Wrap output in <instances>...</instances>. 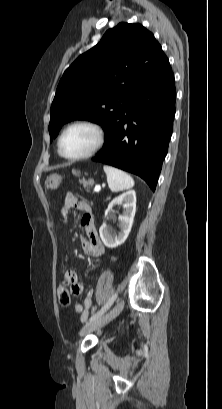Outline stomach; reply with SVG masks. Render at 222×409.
Instances as JSON below:
<instances>
[{"mask_svg": "<svg viewBox=\"0 0 222 409\" xmlns=\"http://www.w3.org/2000/svg\"><path fill=\"white\" fill-rule=\"evenodd\" d=\"M72 173L74 175H79L80 174V172L76 171V170H72ZM61 181H62V177L60 175H58L56 173L55 174H50L49 176H47V178L45 180V187L48 190L57 189L58 186L60 185Z\"/></svg>", "mask_w": 222, "mask_h": 409, "instance_id": "stomach-1", "label": "stomach"}]
</instances>
